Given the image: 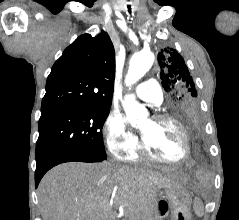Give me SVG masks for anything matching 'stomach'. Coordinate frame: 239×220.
Listing matches in <instances>:
<instances>
[{
    "label": "stomach",
    "instance_id": "1",
    "mask_svg": "<svg viewBox=\"0 0 239 220\" xmlns=\"http://www.w3.org/2000/svg\"><path fill=\"white\" fill-rule=\"evenodd\" d=\"M190 197L183 187L166 188L161 192L153 217L163 220H190Z\"/></svg>",
    "mask_w": 239,
    "mask_h": 220
}]
</instances>
